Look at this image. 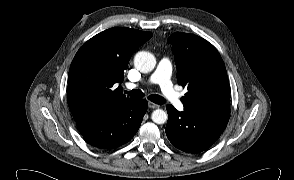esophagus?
I'll use <instances>...</instances> for the list:
<instances>
[{"label": "esophagus", "instance_id": "obj_1", "mask_svg": "<svg viewBox=\"0 0 294 180\" xmlns=\"http://www.w3.org/2000/svg\"><path fill=\"white\" fill-rule=\"evenodd\" d=\"M149 107L152 108V109H156V108H159L160 106L156 103H153V102H149Z\"/></svg>", "mask_w": 294, "mask_h": 180}]
</instances>
